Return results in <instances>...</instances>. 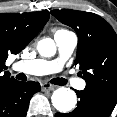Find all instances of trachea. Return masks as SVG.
<instances>
[{
    "label": "trachea",
    "instance_id": "trachea-1",
    "mask_svg": "<svg viewBox=\"0 0 117 117\" xmlns=\"http://www.w3.org/2000/svg\"><path fill=\"white\" fill-rule=\"evenodd\" d=\"M16 78L19 80H24L25 75L23 73H20L16 76ZM51 83L55 85H66L67 81L64 78H55L51 80Z\"/></svg>",
    "mask_w": 117,
    "mask_h": 117
}]
</instances>
